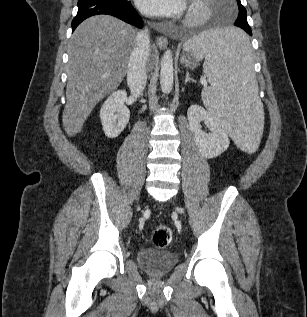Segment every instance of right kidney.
I'll return each mask as SVG.
<instances>
[{"label": "right kidney", "mask_w": 307, "mask_h": 317, "mask_svg": "<svg viewBox=\"0 0 307 317\" xmlns=\"http://www.w3.org/2000/svg\"><path fill=\"white\" fill-rule=\"evenodd\" d=\"M125 90L113 92L100 109L103 131L108 138H116L124 130L130 118V111L125 106Z\"/></svg>", "instance_id": "ca27d5eb"}]
</instances>
